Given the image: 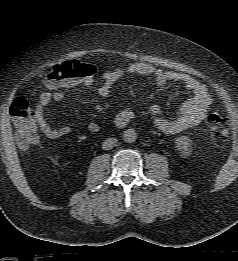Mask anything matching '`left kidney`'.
<instances>
[{
	"instance_id": "obj_1",
	"label": "left kidney",
	"mask_w": 238,
	"mask_h": 261,
	"mask_svg": "<svg viewBox=\"0 0 238 261\" xmlns=\"http://www.w3.org/2000/svg\"><path fill=\"white\" fill-rule=\"evenodd\" d=\"M191 140L187 136H180L176 139V147L181 151L183 157L190 154Z\"/></svg>"
}]
</instances>
